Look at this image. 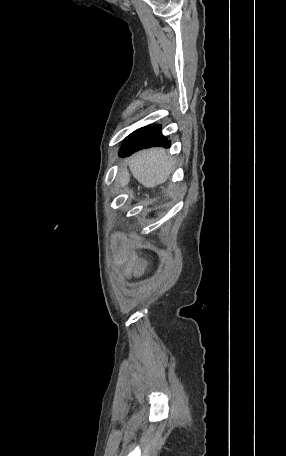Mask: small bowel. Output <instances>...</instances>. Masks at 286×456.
Segmentation results:
<instances>
[{
  "instance_id": "obj_1",
  "label": "small bowel",
  "mask_w": 286,
  "mask_h": 456,
  "mask_svg": "<svg viewBox=\"0 0 286 456\" xmlns=\"http://www.w3.org/2000/svg\"><path fill=\"white\" fill-rule=\"evenodd\" d=\"M136 260V256L133 252L126 251L115 259V263L117 265L124 264V274L129 278L135 267Z\"/></svg>"
}]
</instances>
